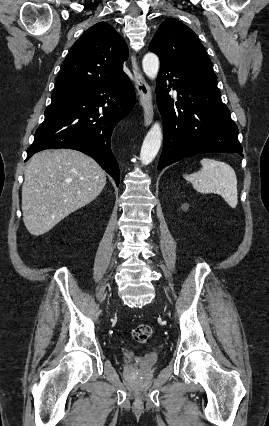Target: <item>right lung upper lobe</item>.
Listing matches in <instances>:
<instances>
[{"instance_id":"right-lung-upper-lobe-1","label":"right lung upper lobe","mask_w":269,"mask_h":426,"mask_svg":"<svg viewBox=\"0 0 269 426\" xmlns=\"http://www.w3.org/2000/svg\"><path fill=\"white\" fill-rule=\"evenodd\" d=\"M128 47L115 29L99 22L71 47L53 92H75L121 79Z\"/></svg>"}]
</instances>
